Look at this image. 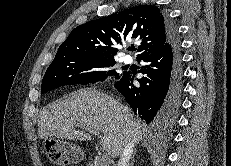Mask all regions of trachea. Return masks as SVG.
<instances>
[{
  "label": "trachea",
  "mask_w": 231,
  "mask_h": 166,
  "mask_svg": "<svg viewBox=\"0 0 231 166\" xmlns=\"http://www.w3.org/2000/svg\"><path fill=\"white\" fill-rule=\"evenodd\" d=\"M129 50L134 51V50H136V48L135 47H130Z\"/></svg>",
  "instance_id": "trachea-1"
}]
</instances>
